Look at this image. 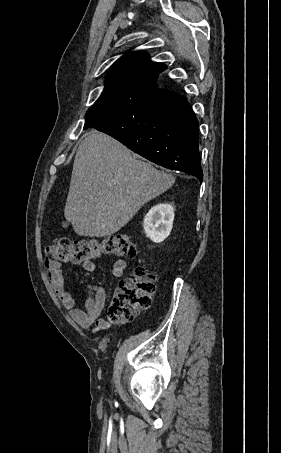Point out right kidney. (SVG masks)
Instances as JSON below:
<instances>
[{"label": "right kidney", "mask_w": 281, "mask_h": 453, "mask_svg": "<svg viewBox=\"0 0 281 453\" xmlns=\"http://www.w3.org/2000/svg\"><path fill=\"white\" fill-rule=\"evenodd\" d=\"M174 220V208L172 204H155L147 212L143 227L144 231L153 241V243H162L166 237H169Z\"/></svg>", "instance_id": "1"}]
</instances>
